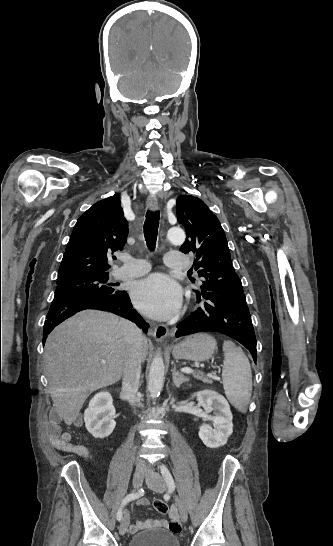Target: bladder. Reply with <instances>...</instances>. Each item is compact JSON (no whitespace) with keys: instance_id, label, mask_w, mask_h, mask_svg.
<instances>
[{"instance_id":"obj_1","label":"bladder","mask_w":333,"mask_h":546,"mask_svg":"<svg viewBox=\"0 0 333 546\" xmlns=\"http://www.w3.org/2000/svg\"><path fill=\"white\" fill-rule=\"evenodd\" d=\"M128 546H180L177 537L166 529H152L134 535Z\"/></svg>"}]
</instances>
